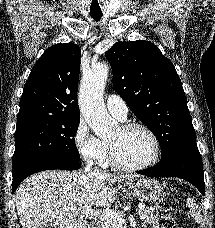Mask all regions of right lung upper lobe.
I'll use <instances>...</instances> for the list:
<instances>
[{
    "label": "right lung upper lobe",
    "instance_id": "obj_1",
    "mask_svg": "<svg viewBox=\"0 0 215 228\" xmlns=\"http://www.w3.org/2000/svg\"><path fill=\"white\" fill-rule=\"evenodd\" d=\"M80 47L59 43L33 66L21 96L17 125L34 121L80 119L77 85Z\"/></svg>",
    "mask_w": 215,
    "mask_h": 228
}]
</instances>
